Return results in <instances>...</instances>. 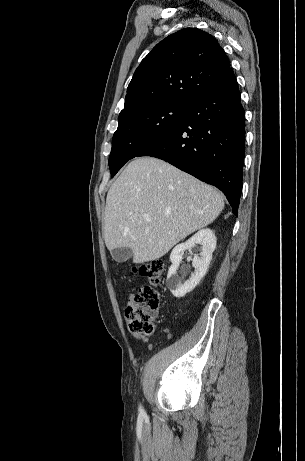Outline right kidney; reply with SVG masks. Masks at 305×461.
Here are the masks:
<instances>
[{"label": "right kidney", "mask_w": 305, "mask_h": 461, "mask_svg": "<svg viewBox=\"0 0 305 461\" xmlns=\"http://www.w3.org/2000/svg\"><path fill=\"white\" fill-rule=\"evenodd\" d=\"M197 245H201V252L200 256L195 255L192 260V266L195 270L186 281L182 282V278L177 275V270L182 261L184 251H191ZM215 247L216 237L213 231L208 228L199 230L185 243L175 246L170 254L172 265L169 268L166 280V285L173 296L176 298L184 297L199 284L208 270Z\"/></svg>", "instance_id": "1"}]
</instances>
